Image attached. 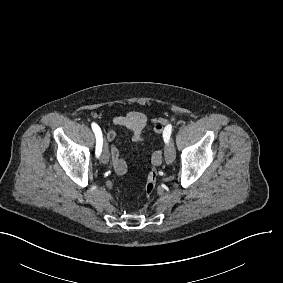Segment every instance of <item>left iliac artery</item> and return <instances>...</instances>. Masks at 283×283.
Wrapping results in <instances>:
<instances>
[{"label": "left iliac artery", "instance_id": "1", "mask_svg": "<svg viewBox=\"0 0 283 283\" xmlns=\"http://www.w3.org/2000/svg\"><path fill=\"white\" fill-rule=\"evenodd\" d=\"M171 129H172V126L171 125H167L164 129V132H163V139H164V142L165 143H168L169 139H170V135H171Z\"/></svg>", "mask_w": 283, "mask_h": 283}]
</instances>
